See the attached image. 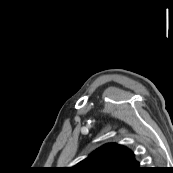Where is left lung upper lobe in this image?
I'll list each match as a JSON object with an SVG mask.
<instances>
[{
	"instance_id": "left-lung-upper-lobe-1",
	"label": "left lung upper lobe",
	"mask_w": 173,
	"mask_h": 173,
	"mask_svg": "<svg viewBox=\"0 0 173 173\" xmlns=\"http://www.w3.org/2000/svg\"><path fill=\"white\" fill-rule=\"evenodd\" d=\"M73 173H141L133 152L114 143L98 148L72 168Z\"/></svg>"
}]
</instances>
